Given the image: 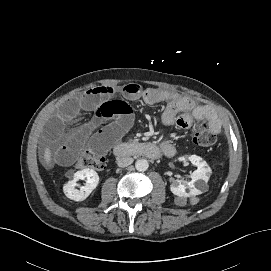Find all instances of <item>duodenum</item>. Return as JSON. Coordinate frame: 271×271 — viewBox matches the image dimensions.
I'll use <instances>...</instances> for the list:
<instances>
[{"mask_svg":"<svg viewBox=\"0 0 271 271\" xmlns=\"http://www.w3.org/2000/svg\"><path fill=\"white\" fill-rule=\"evenodd\" d=\"M114 155L117 157L128 155H139L151 159H156L160 155V149L154 144H140L130 146L126 143H122L115 146Z\"/></svg>","mask_w":271,"mask_h":271,"instance_id":"obj_1","label":"duodenum"}]
</instances>
